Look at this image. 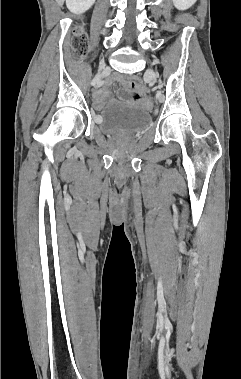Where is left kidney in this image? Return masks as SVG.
Wrapping results in <instances>:
<instances>
[{
	"label": "left kidney",
	"instance_id": "5707ae66",
	"mask_svg": "<svg viewBox=\"0 0 241 379\" xmlns=\"http://www.w3.org/2000/svg\"><path fill=\"white\" fill-rule=\"evenodd\" d=\"M174 6L179 10H186L190 8L197 0H172Z\"/></svg>",
	"mask_w": 241,
	"mask_h": 379
}]
</instances>
